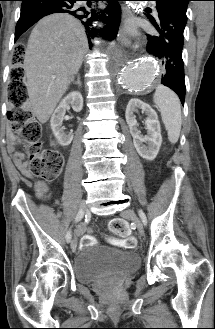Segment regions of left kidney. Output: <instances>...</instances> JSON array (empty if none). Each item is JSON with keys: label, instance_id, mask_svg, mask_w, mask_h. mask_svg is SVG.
Instances as JSON below:
<instances>
[{"label": "left kidney", "instance_id": "left-kidney-1", "mask_svg": "<svg viewBox=\"0 0 215 329\" xmlns=\"http://www.w3.org/2000/svg\"><path fill=\"white\" fill-rule=\"evenodd\" d=\"M138 109H141L142 112L147 115V119L145 120L147 135L145 136L141 135L137 128L138 123L134 113L137 112ZM125 118L133 137L134 147L138 154L146 160L155 159L162 143L161 128L157 113L147 103L134 98L128 102ZM144 143H146L147 146L144 145Z\"/></svg>", "mask_w": 215, "mask_h": 329}]
</instances>
